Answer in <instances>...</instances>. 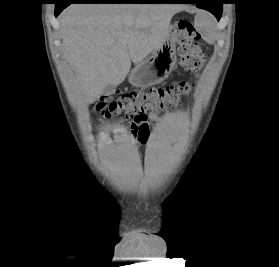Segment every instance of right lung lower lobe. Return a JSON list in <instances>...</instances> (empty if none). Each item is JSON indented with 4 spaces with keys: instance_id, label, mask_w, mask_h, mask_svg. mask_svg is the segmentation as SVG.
<instances>
[{
    "instance_id": "right-lung-lower-lobe-1",
    "label": "right lung lower lobe",
    "mask_w": 279,
    "mask_h": 267,
    "mask_svg": "<svg viewBox=\"0 0 279 267\" xmlns=\"http://www.w3.org/2000/svg\"><path fill=\"white\" fill-rule=\"evenodd\" d=\"M165 0H58L55 8V16L71 3H165Z\"/></svg>"
}]
</instances>
